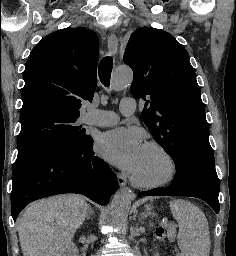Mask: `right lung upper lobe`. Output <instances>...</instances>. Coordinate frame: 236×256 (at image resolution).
<instances>
[{
  "mask_svg": "<svg viewBox=\"0 0 236 256\" xmlns=\"http://www.w3.org/2000/svg\"><path fill=\"white\" fill-rule=\"evenodd\" d=\"M98 38L85 28H65L44 37L25 65L21 118L43 111L78 118L82 100L97 84Z\"/></svg>",
  "mask_w": 236,
  "mask_h": 256,
  "instance_id": "obj_1",
  "label": "right lung upper lobe"
}]
</instances>
